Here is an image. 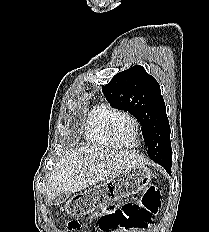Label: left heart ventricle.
<instances>
[{
	"label": "left heart ventricle",
	"mask_w": 209,
	"mask_h": 232,
	"mask_svg": "<svg viewBox=\"0 0 209 232\" xmlns=\"http://www.w3.org/2000/svg\"><path fill=\"white\" fill-rule=\"evenodd\" d=\"M113 132L120 143L130 145L133 139L134 125L129 119L122 118L114 124Z\"/></svg>",
	"instance_id": "1"
}]
</instances>
